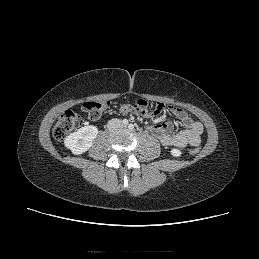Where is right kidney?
Segmentation results:
<instances>
[{
    "mask_svg": "<svg viewBox=\"0 0 259 259\" xmlns=\"http://www.w3.org/2000/svg\"><path fill=\"white\" fill-rule=\"evenodd\" d=\"M97 134L98 128L93 125H88L67 136L64 144L72 153L77 155L82 154L92 146Z\"/></svg>",
    "mask_w": 259,
    "mask_h": 259,
    "instance_id": "right-kidney-1",
    "label": "right kidney"
}]
</instances>
